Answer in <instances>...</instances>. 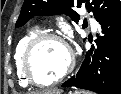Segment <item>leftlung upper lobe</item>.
Wrapping results in <instances>:
<instances>
[{
  "instance_id": "left-lung-upper-lobe-1",
  "label": "left lung upper lobe",
  "mask_w": 121,
  "mask_h": 94,
  "mask_svg": "<svg viewBox=\"0 0 121 94\" xmlns=\"http://www.w3.org/2000/svg\"><path fill=\"white\" fill-rule=\"evenodd\" d=\"M75 7L92 12L100 23L120 10L121 3L119 0H25L16 27H21L34 15L66 14L77 22L79 15L73 9Z\"/></svg>"
}]
</instances>
